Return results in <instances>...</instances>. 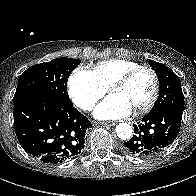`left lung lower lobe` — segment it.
Listing matches in <instances>:
<instances>
[{
    "mask_svg": "<svg viewBox=\"0 0 196 196\" xmlns=\"http://www.w3.org/2000/svg\"><path fill=\"white\" fill-rule=\"evenodd\" d=\"M182 113L164 109L149 112L138 125L133 137L124 143L123 150L136 157H152L170 146L181 127Z\"/></svg>",
    "mask_w": 196,
    "mask_h": 196,
    "instance_id": "left-lung-lower-lobe-1",
    "label": "left lung lower lobe"
}]
</instances>
